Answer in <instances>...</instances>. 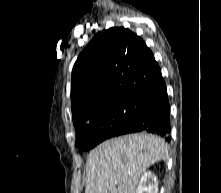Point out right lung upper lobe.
Here are the masks:
<instances>
[{"label":"right lung upper lobe","instance_id":"obj_1","mask_svg":"<svg viewBox=\"0 0 221 193\" xmlns=\"http://www.w3.org/2000/svg\"><path fill=\"white\" fill-rule=\"evenodd\" d=\"M160 76L153 53L135 33L123 27L97 33L72 70L74 126L112 102L145 100Z\"/></svg>","mask_w":221,"mask_h":193}]
</instances>
